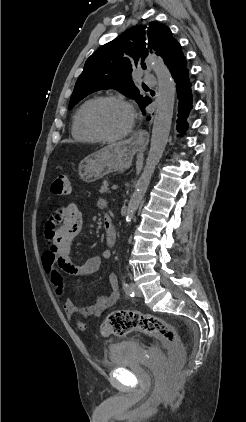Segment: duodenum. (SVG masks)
Masks as SVG:
<instances>
[{
	"mask_svg": "<svg viewBox=\"0 0 246 422\" xmlns=\"http://www.w3.org/2000/svg\"><path fill=\"white\" fill-rule=\"evenodd\" d=\"M105 238L108 246L113 247L116 243V230L109 217L104 219Z\"/></svg>",
	"mask_w": 246,
	"mask_h": 422,
	"instance_id": "1",
	"label": "duodenum"
}]
</instances>
